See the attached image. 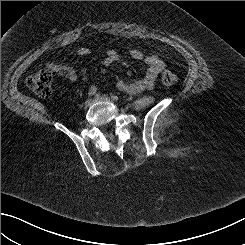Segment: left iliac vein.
Here are the masks:
<instances>
[{
    "instance_id": "obj_1",
    "label": "left iliac vein",
    "mask_w": 245,
    "mask_h": 245,
    "mask_svg": "<svg viewBox=\"0 0 245 245\" xmlns=\"http://www.w3.org/2000/svg\"><path fill=\"white\" fill-rule=\"evenodd\" d=\"M95 101L112 102V100L110 99V97H108L107 95L99 96L98 98L95 99Z\"/></svg>"
}]
</instances>
